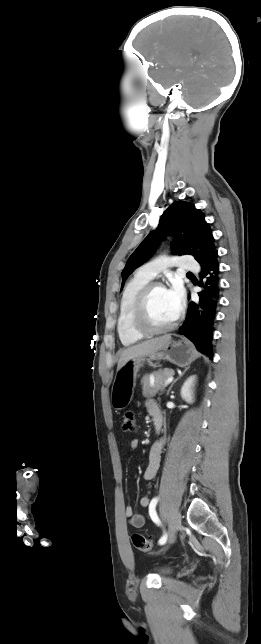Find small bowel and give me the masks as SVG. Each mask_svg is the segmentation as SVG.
I'll return each mask as SVG.
<instances>
[{"instance_id":"obj_1","label":"small bowel","mask_w":261,"mask_h":644,"mask_svg":"<svg viewBox=\"0 0 261 644\" xmlns=\"http://www.w3.org/2000/svg\"><path fill=\"white\" fill-rule=\"evenodd\" d=\"M146 409L149 415L154 419L155 416H160L162 418V413L161 409L158 406V404L154 400H148L146 402ZM165 440L160 439L156 441L152 447L150 448L149 451V456H148V465L144 471L143 478L146 481L152 480L157 473L160 461H161V454L163 451ZM139 446V442L137 439H133L130 442V449L135 450ZM139 504L143 508H148L150 505V499L148 496H142L139 500ZM125 516L129 521V524L135 528H140L144 526L145 524V517L141 513H135L133 508L131 506H126L125 508Z\"/></svg>"}]
</instances>
